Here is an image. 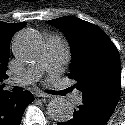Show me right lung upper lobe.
<instances>
[{"instance_id": "cb5924a9", "label": "right lung upper lobe", "mask_w": 125, "mask_h": 125, "mask_svg": "<svg viewBox=\"0 0 125 125\" xmlns=\"http://www.w3.org/2000/svg\"><path fill=\"white\" fill-rule=\"evenodd\" d=\"M26 22L6 23L0 21V82L7 78V63L10 56V42L14 33L24 27ZM3 85H0V95L3 94Z\"/></svg>"}]
</instances>
